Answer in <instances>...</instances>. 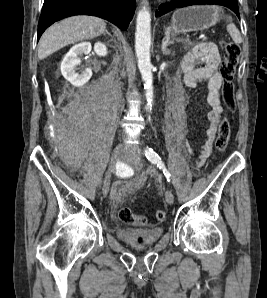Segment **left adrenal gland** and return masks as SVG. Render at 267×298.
<instances>
[{"label": "left adrenal gland", "mask_w": 267, "mask_h": 298, "mask_svg": "<svg viewBox=\"0 0 267 298\" xmlns=\"http://www.w3.org/2000/svg\"><path fill=\"white\" fill-rule=\"evenodd\" d=\"M175 41L179 42L181 40L180 39H177L176 37H171L170 36V31L167 30L165 32V37L162 40V46H161V50H162V53L164 55L167 56V55H170L171 54V50L170 49H167V47L169 45H173Z\"/></svg>", "instance_id": "1"}]
</instances>
